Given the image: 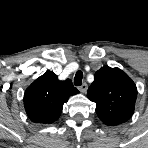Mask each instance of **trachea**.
I'll list each match as a JSON object with an SVG mask.
<instances>
[{"label": "trachea", "mask_w": 148, "mask_h": 148, "mask_svg": "<svg viewBox=\"0 0 148 148\" xmlns=\"http://www.w3.org/2000/svg\"><path fill=\"white\" fill-rule=\"evenodd\" d=\"M82 79H83V73L82 71H77L74 77V85L81 86L82 85Z\"/></svg>", "instance_id": "3493384b"}]
</instances>
